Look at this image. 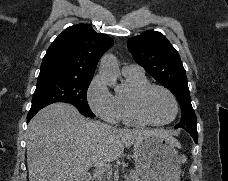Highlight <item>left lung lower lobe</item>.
Returning a JSON list of instances; mask_svg holds the SVG:
<instances>
[{
    "label": "left lung lower lobe",
    "instance_id": "left-lung-lower-lobe-1",
    "mask_svg": "<svg viewBox=\"0 0 228 181\" xmlns=\"http://www.w3.org/2000/svg\"><path fill=\"white\" fill-rule=\"evenodd\" d=\"M193 138L194 142L197 144L198 142V133L197 130H186Z\"/></svg>",
    "mask_w": 228,
    "mask_h": 181
}]
</instances>
